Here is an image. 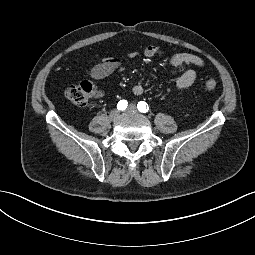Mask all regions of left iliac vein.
Instances as JSON below:
<instances>
[{"mask_svg": "<svg viewBox=\"0 0 255 255\" xmlns=\"http://www.w3.org/2000/svg\"><path fill=\"white\" fill-rule=\"evenodd\" d=\"M127 111L128 112H136L137 111L136 106L135 105H129V107L127 108Z\"/></svg>", "mask_w": 255, "mask_h": 255, "instance_id": "4c4485c4", "label": "left iliac vein"}]
</instances>
